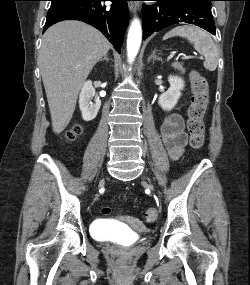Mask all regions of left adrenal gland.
I'll use <instances>...</instances> for the list:
<instances>
[{
  "label": "left adrenal gland",
  "mask_w": 250,
  "mask_h": 285,
  "mask_svg": "<svg viewBox=\"0 0 250 285\" xmlns=\"http://www.w3.org/2000/svg\"><path fill=\"white\" fill-rule=\"evenodd\" d=\"M150 60H153V61H156V60H157V61H162V59L156 55V51H155V50L152 52V54H151L150 57L148 58V62H150Z\"/></svg>",
  "instance_id": "1"
}]
</instances>
